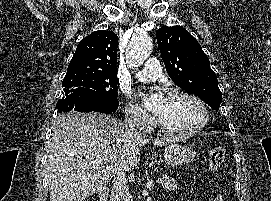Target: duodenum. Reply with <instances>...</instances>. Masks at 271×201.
Returning a JSON list of instances; mask_svg holds the SVG:
<instances>
[{"instance_id": "duodenum-1", "label": "duodenum", "mask_w": 271, "mask_h": 201, "mask_svg": "<svg viewBox=\"0 0 271 201\" xmlns=\"http://www.w3.org/2000/svg\"><path fill=\"white\" fill-rule=\"evenodd\" d=\"M98 199H99V201H107L108 200V190L106 188L102 189L99 192Z\"/></svg>"}]
</instances>
